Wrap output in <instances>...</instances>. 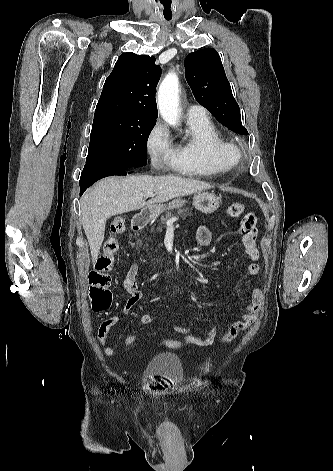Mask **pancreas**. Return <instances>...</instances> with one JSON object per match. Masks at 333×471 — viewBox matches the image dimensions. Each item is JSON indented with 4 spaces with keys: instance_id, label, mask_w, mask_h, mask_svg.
Listing matches in <instances>:
<instances>
[{
    "instance_id": "1",
    "label": "pancreas",
    "mask_w": 333,
    "mask_h": 471,
    "mask_svg": "<svg viewBox=\"0 0 333 471\" xmlns=\"http://www.w3.org/2000/svg\"><path fill=\"white\" fill-rule=\"evenodd\" d=\"M177 213L182 215V216H186L189 214V209L188 208H183V209H178L177 210ZM172 216V213L171 212H167V214L165 215V217H162L161 218V223H160V226H158L156 229L155 227L153 226L151 228V232L154 233L155 231L158 232V233H161L162 232V229H163V225L165 226L167 220ZM137 244L138 245H141L142 242L140 239L137 240Z\"/></svg>"
}]
</instances>
